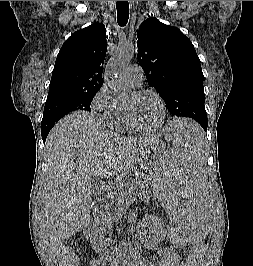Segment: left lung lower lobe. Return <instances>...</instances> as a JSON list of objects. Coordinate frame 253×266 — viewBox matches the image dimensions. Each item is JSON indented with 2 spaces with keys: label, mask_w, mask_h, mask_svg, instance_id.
<instances>
[{
  "label": "left lung lower lobe",
  "mask_w": 253,
  "mask_h": 266,
  "mask_svg": "<svg viewBox=\"0 0 253 266\" xmlns=\"http://www.w3.org/2000/svg\"><path fill=\"white\" fill-rule=\"evenodd\" d=\"M203 129H204V130H207V127L203 126Z\"/></svg>",
  "instance_id": "left-lung-lower-lobe-1"
}]
</instances>
